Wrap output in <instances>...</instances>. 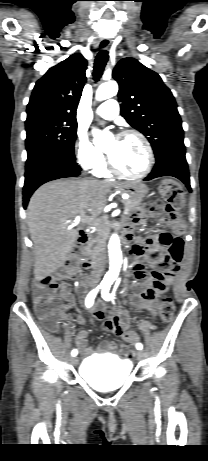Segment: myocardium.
Masks as SVG:
<instances>
[{
  "mask_svg": "<svg viewBox=\"0 0 208 461\" xmlns=\"http://www.w3.org/2000/svg\"><path fill=\"white\" fill-rule=\"evenodd\" d=\"M129 136H135L137 137L141 142L142 144L144 145V148L146 150V153H147V164H146V167L144 168V170L142 172H140L139 174H127V173H124L122 172L121 170H119L116 165L114 164L111 156L105 152V158H106V166H107V169L108 171L111 173V174H114L118 177H121V178H124V179H131V180H136V179H142L144 177H146L152 170L153 168V165H154V152H153V149H152V146L149 142V140L145 137V135H143L141 132L137 131V130H134V129H129V130H124L122 132H120L116 138H124V137H129Z\"/></svg>",
  "mask_w": 208,
  "mask_h": 461,
  "instance_id": "f54148a6",
  "label": "myocardium"
}]
</instances>
